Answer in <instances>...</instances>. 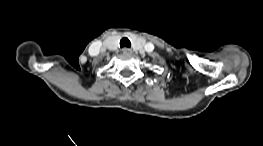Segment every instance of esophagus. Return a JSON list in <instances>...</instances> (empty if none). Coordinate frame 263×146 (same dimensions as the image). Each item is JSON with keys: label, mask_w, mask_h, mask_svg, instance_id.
<instances>
[{"label": "esophagus", "mask_w": 263, "mask_h": 146, "mask_svg": "<svg viewBox=\"0 0 263 146\" xmlns=\"http://www.w3.org/2000/svg\"><path fill=\"white\" fill-rule=\"evenodd\" d=\"M122 52H123V54H129V53H131V50L129 48L125 47L122 49Z\"/></svg>", "instance_id": "1"}]
</instances>
